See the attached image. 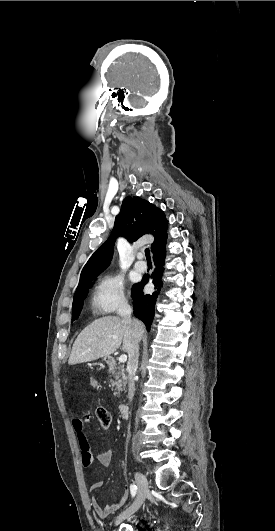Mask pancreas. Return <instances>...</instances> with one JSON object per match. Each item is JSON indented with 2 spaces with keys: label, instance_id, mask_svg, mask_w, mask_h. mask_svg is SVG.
I'll return each instance as SVG.
<instances>
[{
  "label": "pancreas",
  "instance_id": "1",
  "mask_svg": "<svg viewBox=\"0 0 275 531\" xmlns=\"http://www.w3.org/2000/svg\"><path fill=\"white\" fill-rule=\"evenodd\" d=\"M109 377H112V379H110L112 391H115V397H119L120 393H118V391H122V389L126 387L127 377L125 375L123 367H121V365H119L118 367L114 359H112L109 365Z\"/></svg>",
  "mask_w": 275,
  "mask_h": 531
}]
</instances>
